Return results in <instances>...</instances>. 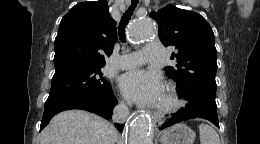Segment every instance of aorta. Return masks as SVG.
<instances>
[{
    "label": "aorta",
    "instance_id": "1",
    "mask_svg": "<svg viewBox=\"0 0 260 144\" xmlns=\"http://www.w3.org/2000/svg\"><path fill=\"white\" fill-rule=\"evenodd\" d=\"M154 35V23L149 19L136 20L130 26V40L135 44L142 43ZM129 144H153L151 120L145 115H138L129 125Z\"/></svg>",
    "mask_w": 260,
    "mask_h": 144
}]
</instances>
